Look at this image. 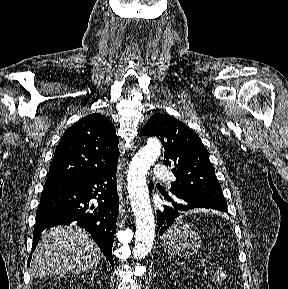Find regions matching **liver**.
<instances>
[{"instance_id": "6515ba94", "label": "liver", "mask_w": 288, "mask_h": 289, "mask_svg": "<svg viewBox=\"0 0 288 289\" xmlns=\"http://www.w3.org/2000/svg\"><path fill=\"white\" fill-rule=\"evenodd\" d=\"M103 257L89 234L74 225L56 226L45 232L31 260V276L87 272Z\"/></svg>"}]
</instances>
